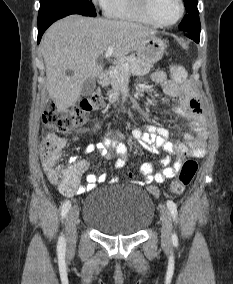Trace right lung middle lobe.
<instances>
[{
	"label": "right lung middle lobe",
	"mask_w": 233,
	"mask_h": 284,
	"mask_svg": "<svg viewBox=\"0 0 233 284\" xmlns=\"http://www.w3.org/2000/svg\"><path fill=\"white\" fill-rule=\"evenodd\" d=\"M70 14L97 15L92 0H40L38 27L53 23Z\"/></svg>",
	"instance_id": "right-lung-middle-lobe-1"
}]
</instances>
